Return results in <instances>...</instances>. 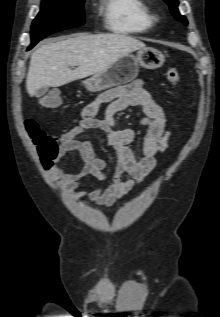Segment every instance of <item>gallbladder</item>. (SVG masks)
Masks as SVG:
<instances>
[{"label": "gallbladder", "instance_id": "obj_1", "mask_svg": "<svg viewBox=\"0 0 220 317\" xmlns=\"http://www.w3.org/2000/svg\"><path fill=\"white\" fill-rule=\"evenodd\" d=\"M47 91H48V87H42L36 91L35 96L41 97V96L45 95L47 93Z\"/></svg>", "mask_w": 220, "mask_h": 317}]
</instances>
